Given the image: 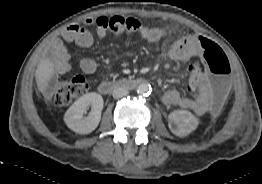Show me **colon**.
I'll list each match as a JSON object with an SVG mask.
<instances>
[{"label": "colon", "mask_w": 262, "mask_h": 184, "mask_svg": "<svg viewBox=\"0 0 262 184\" xmlns=\"http://www.w3.org/2000/svg\"><path fill=\"white\" fill-rule=\"evenodd\" d=\"M87 22L109 31L115 37L133 34L142 29L141 22L130 17H99ZM200 45L201 64L208 74L203 81V86L212 112L218 115L224 110L229 94L230 63L222 48L216 43L202 38ZM87 90L88 85L82 76L72 77L59 84L53 93V102L59 106L67 105L84 95Z\"/></svg>", "instance_id": "obj_1"}]
</instances>
